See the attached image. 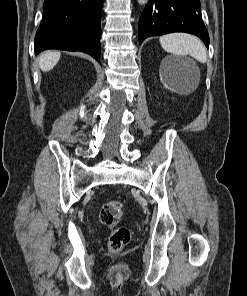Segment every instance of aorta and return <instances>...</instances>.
Instances as JSON below:
<instances>
[{
    "label": "aorta",
    "mask_w": 247,
    "mask_h": 296,
    "mask_svg": "<svg viewBox=\"0 0 247 296\" xmlns=\"http://www.w3.org/2000/svg\"><path fill=\"white\" fill-rule=\"evenodd\" d=\"M139 4H144L147 0H138Z\"/></svg>",
    "instance_id": "1"
}]
</instances>
